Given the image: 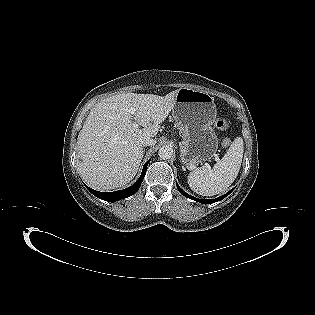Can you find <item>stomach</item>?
Returning <instances> with one entry per match:
<instances>
[{
    "instance_id": "obj_1",
    "label": "stomach",
    "mask_w": 315,
    "mask_h": 315,
    "mask_svg": "<svg viewBox=\"0 0 315 315\" xmlns=\"http://www.w3.org/2000/svg\"><path fill=\"white\" fill-rule=\"evenodd\" d=\"M173 118L182 133L180 160L187 168L212 159L218 149L213 123L217 109L209 93L181 88L175 97Z\"/></svg>"
}]
</instances>
